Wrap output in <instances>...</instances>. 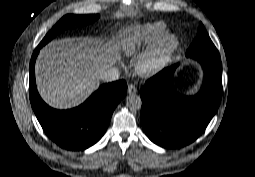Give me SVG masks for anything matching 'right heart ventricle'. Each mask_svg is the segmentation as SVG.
<instances>
[{"mask_svg": "<svg viewBox=\"0 0 255 177\" xmlns=\"http://www.w3.org/2000/svg\"><path fill=\"white\" fill-rule=\"evenodd\" d=\"M165 32V25L156 22L143 25L132 33L127 34L123 40V48L126 55L130 58L138 57L145 49L151 47L155 41L162 37Z\"/></svg>", "mask_w": 255, "mask_h": 177, "instance_id": "right-heart-ventricle-1", "label": "right heart ventricle"}]
</instances>
